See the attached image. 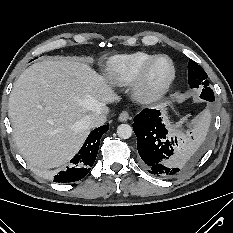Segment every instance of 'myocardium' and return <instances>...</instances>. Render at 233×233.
I'll use <instances>...</instances> for the list:
<instances>
[{"mask_svg":"<svg viewBox=\"0 0 233 233\" xmlns=\"http://www.w3.org/2000/svg\"><path fill=\"white\" fill-rule=\"evenodd\" d=\"M167 60L170 65L168 77L161 83L152 85L149 77L151 70L161 61ZM176 77V68L173 60L166 55H158L146 63L132 82V95L140 103H152L162 98L170 89Z\"/></svg>","mask_w":233,"mask_h":233,"instance_id":"myocardium-1","label":"myocardium"}]
</instances>
